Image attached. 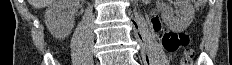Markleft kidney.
Listing matches in <instances>:
<instances>
[{"label": "left kidney", "mask_w": 232, "mask_h": 65, "mask_svg": "<svg viewBox=\"0 0 232 65\" xmlns=\"http://www.w3.org/2000/svg\"><path fill=\"white\" fill-rule=\"evenodd\" d=\"M178 12L166 9L162 13V18L169 29L176 32L184 31L193 21L195 10L190 0H176ZM177 15H174V14Z\"/></svg>", "instance_id": "obj_1"}]
</instances>
